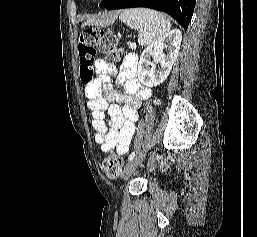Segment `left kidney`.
<instances>
[{
	"label": "left kidney",
	"instance_id": "left-kidney-1",
	"mask_svg": "<svg viewBox=\"0 0 257 237\" xmlns=\"http://www.w3.org/2000/svg\"><path fill=\"white\" fill-rule=\"evenodd\" d=\"M181 41L182 33L175 29L144 49L137 70L138 78L143 85L155 87L168 77L177 58ZM164 49L167 50V54H164ZM157 63L161 65L158 70H156Z\"/></svg>",
	"mask_w": 257,
	"mask_h": 237
}]
</instances>
